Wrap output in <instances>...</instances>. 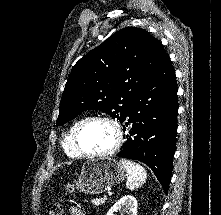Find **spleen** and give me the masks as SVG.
<instances>
[{
    "mask_svg": "<svg viewBox=\"0 0 221 215\" xmlns=\"http://www.w3.org/2000/svg\"><path fill=\"white\" fill-rule=\"evenodd\" d=\"M120 163L128 174L126 182L128 189L133 190L144 184L147 173L141 165L126 159H121Z\"/></svg>",
    "mask_w": 221,
    "mask_h": 215,
    "instance_id": "spleen-1",
    "label": "spleen"
}]
</instances>
